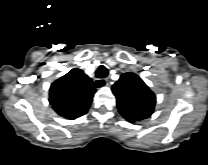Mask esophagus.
<instances>
[{
  "label": "esophagus",
  "mask_w": 208,
  "mask_h": 165,
  "mask_svg": "<svg viewBox=\"0 0 208 165\" xmlns=\"http://www.w3.org/2000/svg\"><path fill=\"white\" fill-rule=\"evenodd\" d=\"M99 84V85H101V86H108L109 85V79L108 78H106V79H104V82H102L101 80H96L95 81V84ZM97 86V85H96ZM100 86V87H101Z\"/></svg>",
  "instance_id": "obj_1"
}]
</instances>
